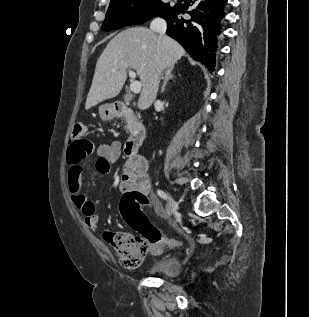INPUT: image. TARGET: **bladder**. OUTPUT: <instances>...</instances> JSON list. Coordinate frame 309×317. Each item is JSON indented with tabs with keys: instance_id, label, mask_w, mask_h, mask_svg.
<instances>
[{
	"instance_id": "bladder-1",
	"label": "bladder",
	"mask_w": 309,
	"mask_h": 317,
	"mask_svg": "<svg viewBox=\"0 0 309 317\" xmlns=\"http://www.w3.org/2000/svg\"><path fill=\"white\" fill-rule=\"evenodd\" d=\"M181 262L175 257H165L154 262L148 269L149 274L175 277L181 271Z\"/></svg>"
}]
</instances>
